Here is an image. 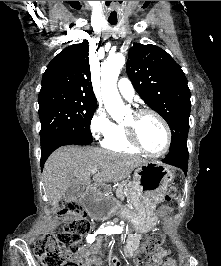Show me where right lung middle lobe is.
Here are the masks:
<instances>
[{
	"label": "right lung middle lobe",
	"instance_id": "right-lung-middle-lobe-1",
	"mask_svg": "<svg viewBox=\"0 0 221 266\" xmlns=\"http://www.w3.org/2000/svg\"><path fill=\"white\" fill-rule=\"evenodd\" d=\"M39 116L41 148L57 143L62 138H77L90 144V122L97 101L64 90L40 91Z\"/></svg>",
	"mask_w": 221,
	"mask_h": 266
}]
</instances>
